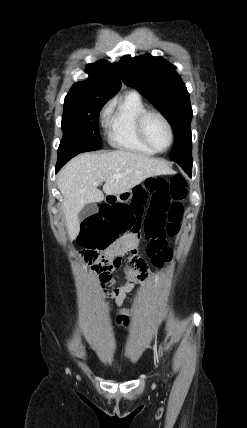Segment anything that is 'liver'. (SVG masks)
<instances>
[{
  "label": "liver",
  "mask_w": 247,
  "mask_h": 428,
  "mask_svg": "<svg viewBox=\"0 0 247 428\" xmlns=\"http://www.w3.org/2000/svg\"><path fill=\"white\" fill-rule=\"evenodd\" d=\"M172 173L163 160L126 150L102 154L83 153L75 157L58 177L70 239L79 233V213L84 205L103 201V192L110 196L119 195L149 177ZM102 182L103 192L98 189Z\"/></svg>",
  "instance_id": "obj_1"
}]
</instances>
